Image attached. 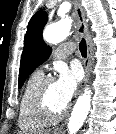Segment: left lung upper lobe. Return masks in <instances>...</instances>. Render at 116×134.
I'll return each mask as SVG.
<instances>
[{
    "label": "left lung upper lobe",
    "mask_w": 116,
    "mask_h": 134,
    "mask_svg": "<svg viewBox=\"0 0 116 134\" xmlns=\"http://www.w3.org/2000/svg\"><path fill=\"white\" fill-rule=\"evenodd\" d=\"M47 20V13L40 10L33 15L28 23L19 70L18 88L22 87L28 76L45 62L52 52L42 38V31Z\"/></svg>",
    "instance_id": "obj_1"
}]
</instances>
